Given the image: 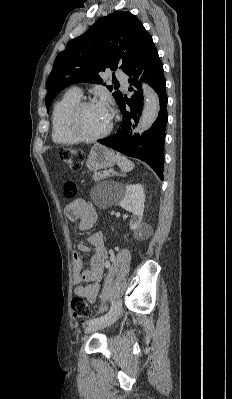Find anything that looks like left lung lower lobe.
<instances>
[{
	"label": "left lung lower lobe",
	"mask_w": 232,
	"mask_h": 399,
	"mask_svg": "<svg viewBox=\"0 0 232 399\" xmlns=\"http://www.w3.org/2000/svg\"><path fill=\"white\" fill-rule=\"evenodd\" d=\"M127 75L130 76L128 80L131 85L129 91H133L134 94L131 99L122 97L118 103L123 117L121 125L116 134L100 139L98 142L129 157L138 158L146 162L163 180V152L165 129L168 120L166 110L167 95L165 92L166 81L163 75V65L152 39L140 51ZM140 75L141 79L139 80ZM142 81H146L158 94L160 111L158 118L149 130L142 135L135 134L132 136V129L138 123L143 107ZM126 103L130 107L128 110H126Z\"/></svg>",
	"instance_id": "0a47b994"
}]
</instances>
